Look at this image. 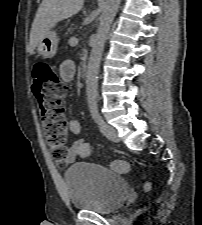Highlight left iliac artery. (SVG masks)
Masks as SVG:
<instances>
[{"mask_svg":"<svg viewBox=\"0 0 202 225\" xmlns=\"http://www.w3.org/2000/svg\"><path fill=\"white\" fill-rule=\"evenodd\" d=\"M89 106H90V112H91V115H92V118L94 119V121L99 125L104 124V121L101 118L99 111H98L97 101L96 100L90 101Z\"/></svg>","mask_w":202,"mask_h":225,"instance_id":"left-iliac-artery-1","label":"left iliac artery"}]
</instances>
